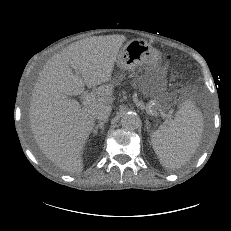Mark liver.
<instances>
[{
    "label": "liver",
    "instance_id": "liver-1",
    "mask_svg": "<svg viewBox=\"0 0 231 231\" xmlns=\"http://www.w3.org/2000/svg\"><path fill=\"white\" fill-rule=\"evenodd\" d=\"M125 40L118 34L79 40L52 56L39 74L30 99L31 131L42 153L64 171L83 170L82 154L95 112L114 102L113 85L106 83L112 80ZM85 85L100 86L95 101L81 106L70 96L83 93Z\"/></svg>",
    "mask_w": 231,
    "mask_h": 231
}]
</instances>
